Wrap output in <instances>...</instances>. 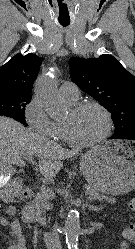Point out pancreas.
<instances>
[{
	"instance_id": "obj_1",
	"label": "pancreas",
	"mask_w": 135,
	"mask_h": 249,
	"mask_svg": "<svg viewBox=\"0 0 135 249\" xmlns=\"http://www.w3.org/2000/svg\"><path fill=\"white\" fill-rule=\"evenodd\" d=\"M49 193H52V191L49 188H44L33 197V201L31 202V204L22 210V218L25 221L36 219L37 216L45 213V209L48 206V201L52 198L51 196H49ZM86 194L90 199H104L110 203L116 202L115 198H108L95 191L93 188H87Z\"/></svg>"
}]
</instances>
